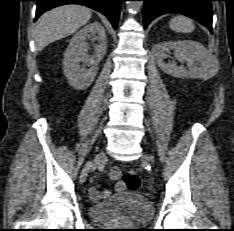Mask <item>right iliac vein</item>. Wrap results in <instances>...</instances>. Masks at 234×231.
<instances>
[{"mask_svg":"<svg viewBox=\"0 0 234 231\" xmlns=\"http://www.w3.org/2000/svg\"><path fill=\"white\" fill-rule=\"evenodd\" d=\"M106 157L104 152H101L97 155V157L94 159V162H87L81 172L79 182L80 184H83L86 181L88 172L90 169H95L97 165L100 164V162Z\"/></svg>","mask_w":234,"mask_h":231,"instance_id":"1","label":"right iliac vein"}]
</instances>
